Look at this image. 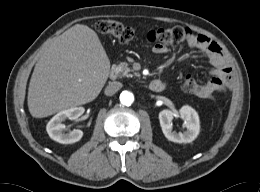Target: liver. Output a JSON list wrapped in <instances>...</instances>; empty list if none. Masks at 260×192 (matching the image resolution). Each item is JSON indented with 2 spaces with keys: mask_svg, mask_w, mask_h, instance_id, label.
I'll return each instance as SVG.
<instances>
[{
  "mask_svg": "<svg viewBox=\"0 0 260 192\" xmlns=\"http://www.w3.org/2000/svg\"><path fill=\"white\" fill-rule=\"evenodd\" d=\"M110 72L109 58L94 30L76 24L47 48L35 65L28 108L43 118L94 100Z\"/></svg>",
  "mask_w": 260,
  "mask_h": 192,
  "instance_id": "6515ba94",
  "label": "liver"
}]
</instances>
